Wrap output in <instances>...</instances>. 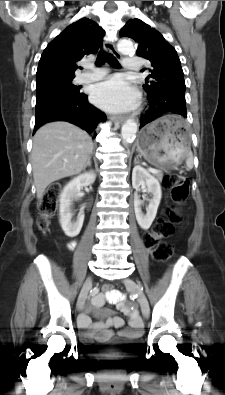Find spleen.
<instances>
[{
	"label": "spleen",
	"instance_id": "obj_1",
	"mask_svg": "<svg viewBox=\"0 0 225 395\" xmlns=\"http://www.w3.org/2000/svg\"><path fill=\"white\" fill-rule=\"evenodd\" d=\"M186 166L188 169H191L193 167V156L191 151H189L187 155Z\"/></svg>",
	"mask_w": 225,
	"mask_h": 395
}]
</instances>
